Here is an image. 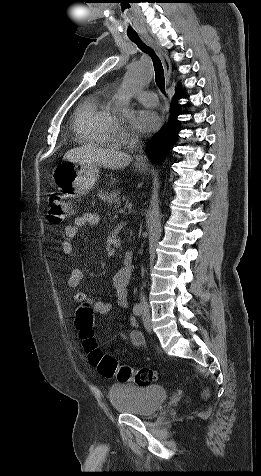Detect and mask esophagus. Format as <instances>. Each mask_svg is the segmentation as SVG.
Returning a JSON list of instances; mask_svg holds the SVG:
<instances>
[{
  "label": "esophagus",
  "mask_w": 261,
  "mask_h": 476,
  "mask_svg": "<svg viewBox=\"0 0 261 476\" xmlns=\"http://www.w3.org/2000/svg\"><path fill=\"white\" fill-rule=\"evenodd\" d=\"M148 45L156 52L163 63L164 72H165V80L169 83L170 76H171V62L166 53L158 46V44L148 35L144 36Z\"/></svg>",
  "instance_id": "1"
}]
</instances>
